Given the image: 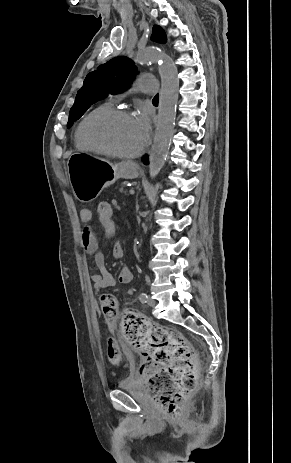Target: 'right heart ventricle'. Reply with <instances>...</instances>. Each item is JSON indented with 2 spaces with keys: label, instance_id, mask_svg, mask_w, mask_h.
Returning <instances> with one entry per match:
<instances>
[{
  "label": "right heart ventricle",
  "instance_id": "e07e8e85",
  "mask_svg": "<svg viewBox=\"0 0 291 463\" xmlns=\"http://www.w3.org/2000/svg\"><path fill=\"white\" fill-rule=\"evenodd\" d=\"M112 109V104L111 102L107 101V102H103L97 106H95L94 108H92L91 110H89L78 122V124L76 125V128H75V132H74V141H75V145L76 147L79 149V150H84V151H90L92 150L83 140V137H82V129H83V126L84 124L86 123V121L98 114V113H102V112H106L108 110Z\"/></svg>",
  "mask_w": 291,
  "mask_h": 463
}]
</instances>
